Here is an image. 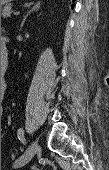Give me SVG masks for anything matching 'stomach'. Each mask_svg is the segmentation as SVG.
I'll use <instances>...</instances> for the list:
<instances>
[{
	"mask_svg": "<svg viewBox=\"0 0 109 170\" xmlns=\"http://www.w3.org/2000/svg\"><path fill=\"white\" fill-rule=\"evenodd\" d=\"M11 1H13V0H1V6L7 5Z\"/></svg>",
	"mask_w": 109,
	"mask_h": 170,
	"instance_id": "stomach-1",
	"label": "stomach"
}]
</instances>
